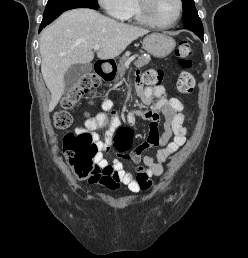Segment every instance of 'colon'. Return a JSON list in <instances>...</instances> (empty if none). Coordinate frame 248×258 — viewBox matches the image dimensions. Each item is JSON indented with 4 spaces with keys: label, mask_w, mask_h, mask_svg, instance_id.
Masks as SVG:
<instances>
[{
    "label": "colon",
    "mask_w": 248,
    "mask_h": 258,
    "mask_svg": "<svg viewBox=\"0 0 248 258\" xmlns=\"http://www.w3.org/2000/svg\"><path fill=\"white\" fill-rule=\"evenodd\" d=\"M193 48L190 42L183 40L176 50L178 65L183 69H189L193 65ZM162 73L155 69L147 70L143 75V81L150 86L159 85ZM100 85V79L95 74H87L70 90L62 99L61 108L54 113L53 123L57 129H66L72 124L71 109L83 95H89L96 91ZM176 86L179 92L191 94L195 87V79L188 71H182L177 78ZM131 139V132L127 128H121L116 135L118 151L124 154ZM63 153L67 158L74 173L79 178L99 180L104 172L94 162L98 153L97 144L88 132L69 133L63 139Z\"/></svg>",
    "instance_id": "colon-1"
}]
</instances>
